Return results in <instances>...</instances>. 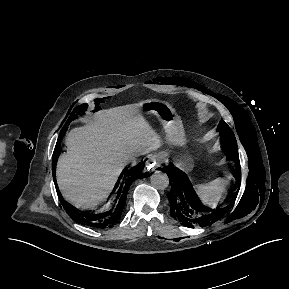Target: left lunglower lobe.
I'll use <instances>...</instances> for the list:
<instances>
[{"instance_id": "left-lung-lower-lobe-1", "label": "left lung lower lobe", "mask_w": 289, "mask_h": 289, "mask_svg": "<svg viewBox=\"0 0 289 289\" xmlns=\"http://www.w3.org/2000/svg\"><path fill=\"white\" fill-rule=\"evenodd\" d=\"M236 179L239 182L240 164L237 162ZM166 173L172 185L171 191L167 194L170 202V213L184 226L205 227L220 219L231 207V204L223 209L213 210L204 206L193 190L186 174L178 168L168 166Z\"/></svg>"}]
</instances>
